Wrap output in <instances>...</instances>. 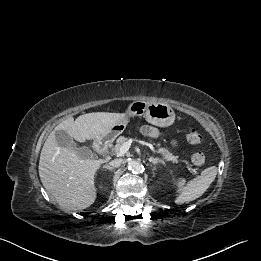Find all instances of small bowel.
I'll use <instances>...</instances> for the list:
<instances>
[{
  "label": "small bowel",
  "mask_w": 261,
  "mask_h": 261,
  "mask_svg": "<svg viewBox=\"0 0 261 261\" xmlns=\"http://www.w3.org/2000/svg\"><path fill=\"white\" fill-rule=\"evenodd\" d=\"M142 132L149 137H157L160 134V131L152 125H144L142 127Z\"/></svg>",
  "instance_id": "obj_1"
}]
</instances>
